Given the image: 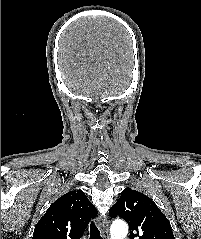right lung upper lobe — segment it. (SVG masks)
Here are the masks:
<instances>
[{"instance_id":"obj_1","label":"right lung upper lobe","mask_w":201,"mask_h":239,"mask_svg":"<svg viewBox=\"0 0 201 239\" xmlns=\"http://www.w3.org/2000/svg\"><path fill=\"white\" fill-rule=\"evenodd\" d=\"M97 210L81 190H74L50 205L36 224L32 239H80Z\"/></svg>"}]
</instances>
